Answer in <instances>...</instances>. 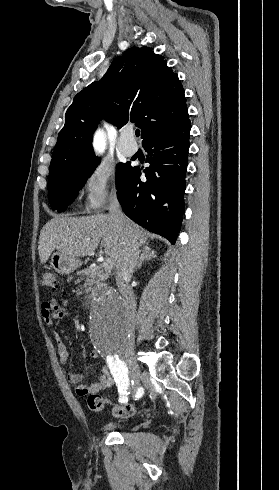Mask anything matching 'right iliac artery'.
<instances>
[{
    "label": "right iliac artery",
    "instance_id": "82829eb1",
    "mask_svg": "<svg viewBox=\"0 0 279 490\" xmlns=\"http://www.w3.org/2000/svg\"><path fill=\"white\" fill-rule=\"evenodd\" d=\"M106 363L118 384L119 401L121 403L127 402L128 398L125 396H127L129 392L127 386L129 378L126 363L120 360L119 352H108Z\"/></svg>",
    "mask_w": 279,
    "mask_h": 490
}]
</instances>
